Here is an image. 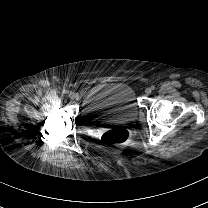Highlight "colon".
<instances>
[{
    "instance_id": "colon-1",
    "label": "colon",
    "mask_w": 208,
    "mask_h": 208,
    "mask_svg": "<svg viewBox=\"0 0 208 208\" xmlns=\"http://www.w3.org/2000/svg\"><path fill=\"white\" fill-rule=\"evenodd\" d=\"M129 139V132L121 127L113 128L102 135V141L107 146L124 144Z\"/></svg>"
}]
</instances>
